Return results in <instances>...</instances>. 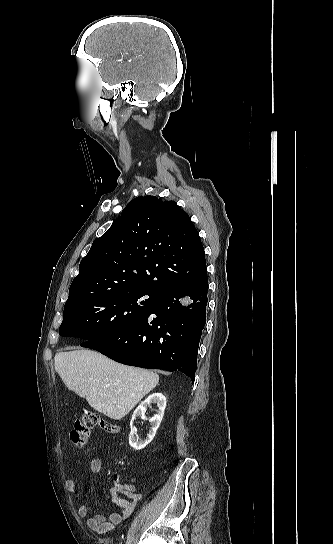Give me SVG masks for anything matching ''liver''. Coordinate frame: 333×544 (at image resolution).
Returning <instances> with one entry per match:
<instances>
[{
    "label": "liver",
    "instance_id": "6515ba94",
    "mask_svg": "<svg viewBox=\"0 0 333 544\" xmlns=\"http://www.w3.org/2000/svg\"><path fill=\"white\" fill-rule=\"evenodd\" d=\"M55 370L66 387L105 416L120 420L159 382V375L88 349L59 352Z\"/></svg>",
    "mask_w": 333,
    "mask_h": 544
}]
</instances>
